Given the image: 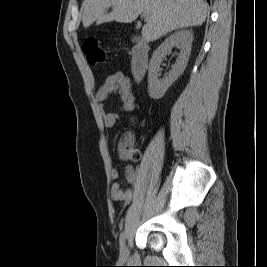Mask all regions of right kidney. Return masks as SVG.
I'll return each mask as SVG.
<instances>
[{
    "label": "right kidney",
    "mask_w": 267,
    "mask_h": 267,
    "mask_svg": "<svg viewBox=\"0 0 267 267\" xmlns=\"http://www.w3.org/2000/svg\"><path fill=\"white\" fill-rule=\"evenodd\" d=\"M192 41L193 33L191 31L180 30L166 38L165 41L154 51L149 63L148 71V93L151 98H162L168 88L184 72L188 63ZM173 47L179 48L180 54L169 74L163 79H160V65L162 59Z\"/></svg>",
    "instance_id": "ca27d5eb"
}]
</instances>
